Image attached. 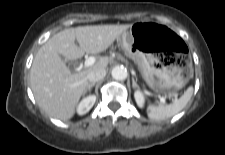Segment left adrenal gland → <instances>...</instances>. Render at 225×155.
Wrapping results in <instances>:
<instances>
[{
  "label": "left adrenal gland",
  "mask_w": 225,
  "mask_h": 155,
  "mask_svg": "<svg viewBox=\"0 0 225 155\" xmlns=\"http://www.w3.org/2000/svg\"><path fill=\"white\" fill-rule=\"evenodd\" d=\"M132 87L135 89V88H139V86L137 85L134 77H132Z\"/></svg>",
  "instance_id": "obj_1"
}]
</instances>
